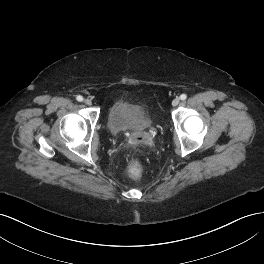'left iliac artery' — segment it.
<instances>
[{
  "label": "left iliac artery",
  "instance_id": "44dca946",
  "mask_svg": "<svg viewBox=\"0 0 264 264\" xmlns=\"http://www.w3.org/2000/svg\"><path fill=\"white\" fill-rule=\"evenodd\" d=\"M187 98V95L186 94H182V95H180V99L181 100H185Z\"/></svg>",
  "mask_w": 264,
  "mask_h": 264
}]
</instances>
